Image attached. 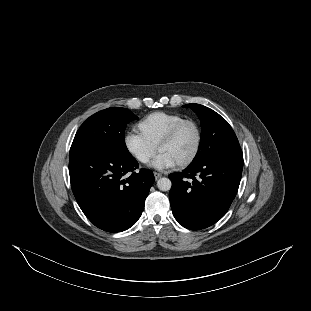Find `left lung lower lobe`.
Segmentation results:
<instances>
[{"label": "left lung lower lobe", "instance_id": "0a47b994", "mask_svg": "<svg viewBox=\"0 0 311 311\" xmlns=\"http://www.w3.org/2000/svg\"><path fill=\"white\" fill-rule=\"evenodd\" d=\"M242 169V150L233 149L169 175V198L175 219L190 230L216 223L236 196Z\"/></svg>", "mask_w": 311, "mask_h": 311}]
</instances>
